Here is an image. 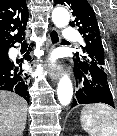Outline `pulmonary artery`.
<instances>
[{"instance_id": "pulmonary-artery-1", "label": "pulmonary artery", "mask_w": 117, "mask_h": 136, "mask_svg": "<svg viewBox=\"0 0 117 136\" xmlns=\"http://www.w3.org/2000/svg\"><path fill=\"white\" fill-rule=\"evenodd\" d=\"M63 36L65 39L81 41V37L79 36L78 32L69 27L64 30Z\"/></svg>"}]
</instances>
